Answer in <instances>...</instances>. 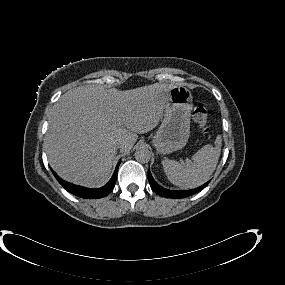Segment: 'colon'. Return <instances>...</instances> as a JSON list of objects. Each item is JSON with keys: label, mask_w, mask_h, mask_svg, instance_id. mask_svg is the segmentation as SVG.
<instances>
[{"label": "colon", "mask_w": 285, "mask_h": 285, "mask_svg": "<svg viewBox=\"0 0 285 285\" xmlns=\"http://www.w3.org/2000/svg\"><path fill=\"white\" fill-rule=\"evenodd\" d=\"M192 116L194 121L197 123L199 126V129L203 132L207 131L208 128V110L206 105L197 100L194 104L193 111H192Z\"/></svg>", "instance_id": "obj_1"}]
</instances>
